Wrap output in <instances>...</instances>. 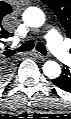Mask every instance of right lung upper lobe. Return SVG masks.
Returning <instances> with one entry per match:
<instances>
[{
    "label": "right lung upper lobe",
    "mask_w": 71,
    "mask_h": 119,
    "mask_svg": "<svg viewBox=\"0 0 71 119\" xmlns=\"http://www.w3.org/2000/svg\"><path fill=\"white\" fill-rule=\"evenodd\" d=\"M7 6H9V5H7ZM7 13H9V8H6L5 14H7Z\"/></svg>",
    "instance_id": "obj_1"
}]
</instances>
